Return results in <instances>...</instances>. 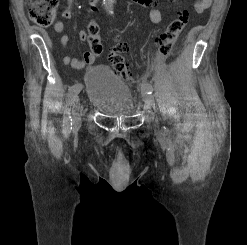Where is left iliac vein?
I'll list each match as a JSON object with an SVG mask.
<instances>
[{"instance_id": "left-iliac-vein-1", "label": "left iliac vein", "mask_w": 247, "mask_h": 245, "mask_svg": "<svg viewBox=\"0 0 247 245\" xmlns=\"http://www.w3.org/2000/svg\"><path fill=\"white\" fill-rule=\"evenodd\" d=\"M142 96H143V99H144L146 106L150 109L151 108L154 109L155 108V102H154L153 96L146 93L144 90L142 91Z\"/></svg>"}]
</instances>
